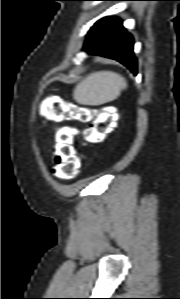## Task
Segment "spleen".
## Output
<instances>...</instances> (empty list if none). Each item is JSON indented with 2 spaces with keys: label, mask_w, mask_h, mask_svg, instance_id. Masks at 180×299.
Segmentation results:
<instances>
[{
  "label": "spleen",
  "mask_w": 180,
  "mask_h": 299,
  "mask_svg": "<svg viewBox=\"0 0 180 299\" xmlns=\"http://www.w3.org/2000/svg\"><path fill=\"white\" fill-rule=\"evenodd\" d=\"M127 82L112 71H99L88 75L74 89L73 97L79 104L100 105L116 99Z\"/></svg>",
  "instance_id": "spleen-1"
}]
</instances>
